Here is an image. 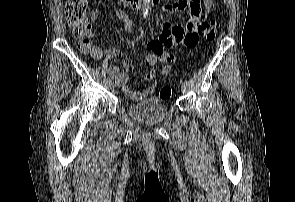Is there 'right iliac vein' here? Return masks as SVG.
Instances as JSON below:
<instances>
[{
	"label": "right iliac vein",
	"mask_w": 295,
	"mask_h": 202,
	"mask_svg": "<svg viewBox=\"0 0 295 202\" xmlns=\"http://www.w3.org/2000/svg\"><path fill=\"white\" fill-rule=\"evenodd\" d=\"M109 88H114L115 84L113 82H107Z\"/></svg>",
	"instance_id": "right-iliac-vein-1"
}]
</instances>
